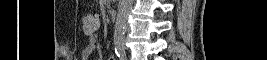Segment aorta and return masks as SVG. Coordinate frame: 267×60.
Here are the masks:
<instances>
[{"mask_svg": "<svg viewBox=\"0 0 267 60\" xmlns=\"http://www.w3.org/2000/svg\"><path fill=\"white\" fill-rule=\"evenodd\" d=\"M132 4L133 0H120L119 2L114 33L115 49L119 54L124 52L125 27Z\"/></svg>", "mask_w": 267, "mask_h": 60, "instance_id": "1", "label": "aorta"}]
</instances>
